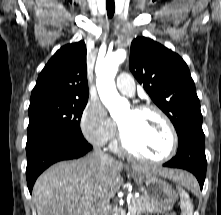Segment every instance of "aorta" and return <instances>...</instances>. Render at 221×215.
Instances as JSON below:
<instances>
[{
    "mask_svg": "<svg viewBox=\"0 0 221 215\" xmlns=\"http://www.w3.org/2000/svg\"><path fill=\"white\" fill-rule=\"evenodd\" d=\"M126 56L127 53L124 49H118L107 54L104 59L97 61L95 67L99 97L112 116L120 106H128L127 100L119 95L114 82L118 67L125 61Z\"/></svg>",
    "mask_w": 221,
    "mask_h": 215,
    "instance_id": "aorta-1",
    "label": "aorta"
}]
</instances>
